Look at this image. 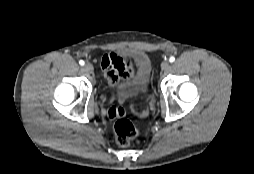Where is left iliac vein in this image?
Masks as SVG:
<instances>
[{
    "label": "left iliac vein",
    "instance_id": "4c4485c4",
    "mask_svg": "<svg viewBox=\"0 0 254 174\" xmlns=\"http://www.w3.org/2000/svg\"><path fill=\"white\" fill-rule=\"evenodd\" d=\"M169 68H170V63H169L168 61H164V62L161 64V69H162V70L167 71Z\"/></svg>",
    "mask_w": 254,
    "mask_h": 174
}]
</instances>
